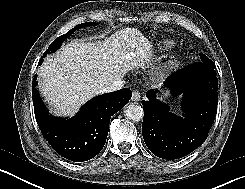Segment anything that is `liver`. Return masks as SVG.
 Masks as SVG:
<instances>
[{
  "label": "liver",
  "mask_w": 245,
  "mask_h": 189,
  "mask_svg": "<svg viewBox=\"0 0 245 189\" xmlns=\"http://www.w3.org/2000/svg\"><path fill=\"white\" fill-rule=\"evenodd\" d=\"M152 57V44L137 28L116 31L103 41L76 39L41 65L39 90L55 114L73 116L113 81L144 67Z\"/></svg>",
  "instance_id": "liver-1"
}]
</instances>
